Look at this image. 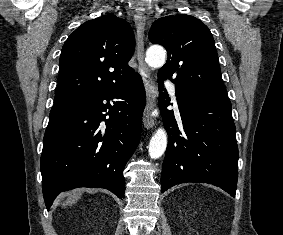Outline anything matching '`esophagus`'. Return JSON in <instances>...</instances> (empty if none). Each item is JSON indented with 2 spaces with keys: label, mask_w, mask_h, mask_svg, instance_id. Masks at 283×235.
I'll return each mask as SVG.
<instances>
[{
  "label": "esophagus",
  "mask_w": 283,
  "mask_h": 235,
  "mask_svg": "<svg viewBox=\"0 0 283 235\" xmlns=\"http://www.w3.org/2000/svg\"><path fill=\"white\" fill-rule=\"evenodd\" d=\"M134 21L137 32V56L139 61V68L143 75L144 86L146 90V106L143 114L144 127L153 128L156 124L152 111L156 106L157 92L153 85L149 83L147 77L150 78V70L144 60V31H145V14L143 11H136Z\"/></svg>",
  "instance_id": "1"
}]
</instances>
